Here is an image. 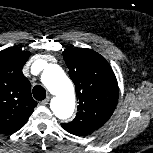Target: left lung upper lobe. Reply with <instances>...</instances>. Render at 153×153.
Here are the masks:
<instances>
[{
	"mask_svg": "<svg viewBox=\"0 0 153 153\" xmlns=\"http://www.w3.org/2000/svg\"><path fill=\"white\" fill-rule=\"evenodd\" d=\"M63 57L79 105L75 119L61 126L73 135L83 136L103 126L111 117L118 101V83L109 63L94 50L70 48L64 50Z\"/></svg>",
	"mask_w": 153,
	"mask_h": 153,
	"instance_id": "left-lung-upper-lobe-1",
	"label": "left lung upper lobe"
}]
</instances>
